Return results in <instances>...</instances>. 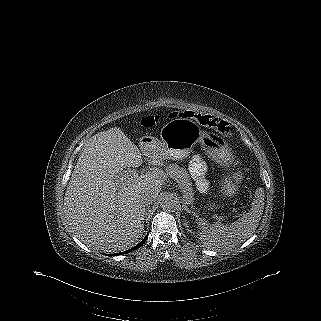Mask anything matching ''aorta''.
<instances>
[{"instance_id": "1", "label": "aorta", "mask_w": 321, "mask_h": 321, "mask_svg": "<svg viewBox=\"0 0 321 321\" xmlns=\"http://www.w3.org/2000/svg\"><path fill=\"white\" fill-rule=\"evenodd\" d=\"M160 206L164 211H175L179 206V199L173 194H165L160 200Z\"/></svg>"}]
</instances>
